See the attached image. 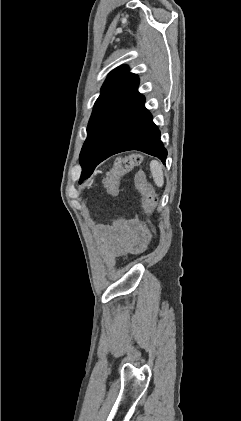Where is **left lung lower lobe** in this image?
Segmentation results:
<instances>
[{
    "label": "left lung lower lobe",
    "instance_id": "obj_1",
    "mask_svg": "<svg viewBox=\"0 0 241 421\" xmlns=\"http://www.w3.org/2000/svg\"><path fill=\"white\" fill-rule=\"evenodd\" d=\"M144 103V96L136 89L119 117L101 155L94 163L82 170L80 182L90 177L95 167L102 161L128 150H139L158 157L165 164L167 150L160 140V131L152 121V115L145 108Z\"/></svg>",
    "mask_w": 241,
    "mask_h": 421
}]
</instances>
